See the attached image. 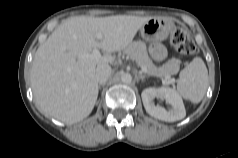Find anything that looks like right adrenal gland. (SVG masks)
<instances>
[{"instance_id": "right-adrenal-gland-1", "label": "right adrenal gland", "mask_w": 238, "mask_h": 158, "mask_svg": "<svg viewBox=\"0 0 238 158\" xmlns=\"http://www.w3.org/2000/svg\"><path fill=\"white\" fill-rule=\"evenodd\" d=\"M105 84H99L98 88L100 89L102 86H104Z\"/></svg>"}]
</instances>
